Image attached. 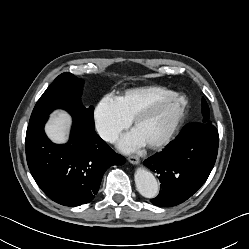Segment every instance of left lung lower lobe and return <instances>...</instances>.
<instances>
[{
    "label": "left lung lower lobe",
    "mask_w": 249,
    "mask_h": 249,
    "mask_svg": "<svg viewBox=\"0 0 249 249\" xmlns=\"http://www.w3.org/2000/svg\"><path fill=\"white\" fill-rule=\"evenodd\" d=\"M219 136L211 122L185 127L161 153L144 165L159 174L161 191L154 205L170 207L191 197L206 181L216 161Z\"/></svg>",
    "instance_id": "1"
}]
</instances>
